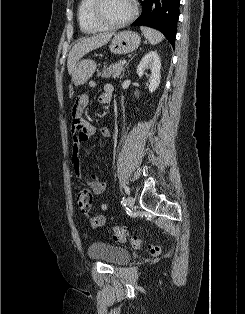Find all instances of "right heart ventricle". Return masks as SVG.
I'll return each mask as SVG.
<instances>
[{
	"mask_svg": "<svg viewBox=\"0 0 245 314\" xmlns=\"http://www.w3.org/2000/svg\"><path fill=\"white\" fill-rule=\"evenodd\" d=\"M94 0H81L78 6V21L80 29L86 34L104 31L105 28L98 24L92 16Z\"/></svg>",
	"mask_w": 245,
	"mask_h": 314,
	"instance_id": "e07e8e85",
	"label": "right heart ventricle"
}]
</instances>
